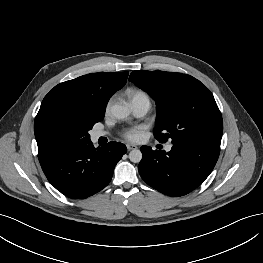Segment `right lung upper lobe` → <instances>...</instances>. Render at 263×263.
<instances>
[{
  "label": "right lung upper lobe",
  "instance_id": "1",
  "mask_svg": "<svg viewBox=\"0 0 263 263\" xmlns=\"http://www.w3.org/2000/svg\"><path fill=\"white\" fill-rule=\"evenodd\" d=\"M128 72L93 73L56 85L43 99L35 118L37 144L45 134L43 124L55 113L104 111L109 98L121 89Z\"/></svg>",
  "mask_w": 263,
  "mask_h": 263
}]
</instances>
